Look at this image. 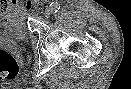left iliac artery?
Masks as SVG:
<instances>
[{
	"mask_svg": "<svg viewBox=\"0 0 131 89\" xmlns=\"http://www.w3.org/2000/svg\"><path fill=\"white\" fill-rule=\"evenodd\" d=\"M53 12H58L60 5L57 2H52L51 5Z\"/></svg>",
	"mask_w": 131,
	"mask_h": 89,
	"instance_id": "1",
	"label": "left iliac artery"
}]
</instances>
